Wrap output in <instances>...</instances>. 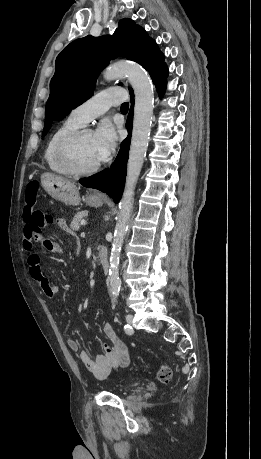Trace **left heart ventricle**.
<instances>
[{
    "label": "left heart ventricle",
    "mask_w": 261,
    "mask_h": 459,
    "mask_svg": "<svg viewBox=\"0 0 261 459\" xmlns=\"http://www.w3.org/2000/svg\"><path fill=\"white\" fill-rule=\"evenodd\" d=\"M75 160L77 165L84 169L100 163L92 132L85 133L78 141L75 149Z\"/></svg>",
    "instance_id": "left-heart-ventricle-1"
}]
</instances>
